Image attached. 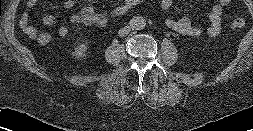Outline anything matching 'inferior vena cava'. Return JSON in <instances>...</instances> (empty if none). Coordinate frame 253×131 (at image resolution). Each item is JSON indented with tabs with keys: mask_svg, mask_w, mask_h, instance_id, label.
I'll list each match as a JSON object with an SVG mask.
<instances>
[{
	"mask_svg": "<svg viewBox=\"0 0 253 131\" xmlns=\"http://www.w3.org/2000/svg\"><path fill=\"white\" fill-rule=\"evenodd\" d=\"M130 31H131V28L129 26H125L118 31V35L119 37H125L126 35L130 33Z\"/></svg>",
	"mask_w": 253,
	"mask_h": 131,
	"instance_id": "1",
	"label": "inferior vena cava"
}]
</instances>
